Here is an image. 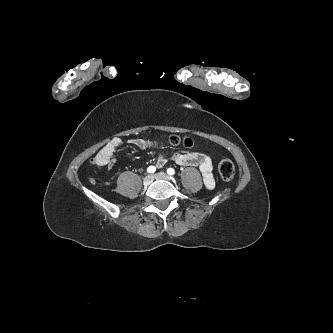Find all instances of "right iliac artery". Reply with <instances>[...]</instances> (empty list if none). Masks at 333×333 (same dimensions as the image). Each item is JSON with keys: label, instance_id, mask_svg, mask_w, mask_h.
Returning <instances> with one entry per match:
<instances>
[{"label": "right iliac artery", "instance_id": "right-iliac-artery-1", "mask_svg": "<svg viewBox=\"0 0 333 333\" xmlns=\"http://www.w3.org/2000/svg\"><path fill=\"white\" fill-rule=\"evenodd\" d=\"M156 171V168L154 166H149L147 169L148 173H154Z\"/></svg>", "mask_w": 333, "mask_h": 333}]
</instances>
